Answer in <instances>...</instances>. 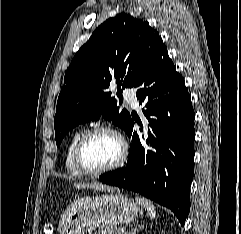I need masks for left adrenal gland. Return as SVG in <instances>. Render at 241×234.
<instances>
[{"instance_id":"obj_1","label":"left adrenal gland","mask_w":241,"mask_h":234,"mask_svg":"<svg viewBox=\"0 0 241 234\" xmlns=\"http://www.w3.org/2000/svg\"><path fill=\"white\" fill-rule=\"evenodd\" d=\"M143 225H136L134 228H132L131 233L130 234H136L139 230L143 229Z\"/></svg>"}]
</instances>
